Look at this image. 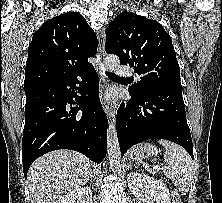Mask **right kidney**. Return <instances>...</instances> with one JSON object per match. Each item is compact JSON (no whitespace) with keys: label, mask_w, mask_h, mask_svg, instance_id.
<instances>
[{"label":"right kidney","mask_w":222,"mask_h":203,"mask_svg":"<svg viewBox=\"0 0 222 203\" xmlns=\"http://www.w3.org/2000/svg\"><path fill=\"white\" fill-rule=\"evenodd\" d=\"M61 203H92V190L81 187L66 196Z\"/></svg>","instance_id":"ca27d5eb"}]
</instances>
